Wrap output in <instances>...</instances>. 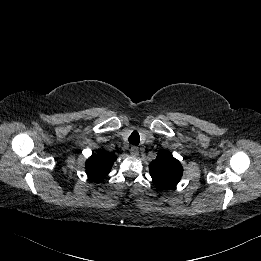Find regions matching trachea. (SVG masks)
<instances>
[{
    "label": "trachea",
    "mask_w": 261,
    "mask_h": 261,
    "mask_svg": "<svg viewBox=\"0 0 261 261\" xmlns=\"http://www.w3.org/2000/svg\"><path fill=\"white\" fill-rule=\"evenodd\" d=\"M139 142H140V136L138 132L136 131L132 132L131 135L129 136V143L137 146Z\"/></svg>",
    "instance_id": "trachea-1"
}]
</instances>
